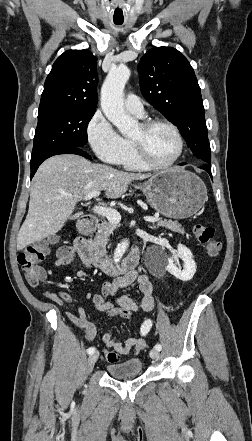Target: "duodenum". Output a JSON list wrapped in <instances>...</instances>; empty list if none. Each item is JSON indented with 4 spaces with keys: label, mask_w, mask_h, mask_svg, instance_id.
Returning a JSON list of instances; mask_svg holds the SVG:
<instances>
[{
    "label": "duodenum",
    "mask_w": 252,
    "mask_h": 441,
    "mask_svg": "<svg viewBox=\"0 0 252 441\" xmlns=\"http://www.w3.org/2000/svg\"><path fill=\"white\" fill-rule=\"evenodd\" d=\"M98 222L99 220L96 216L88 215L79 226L80 235L75 239L74 247L82 261L85 264L97 266L110 276L133 271L139 259L138 249H134L122 263L116 264L112 260L103 257L94 243L86 237L98 225Z\"/></svg>",
    "instance_id": "duodenum-1"
}]
</instances>
